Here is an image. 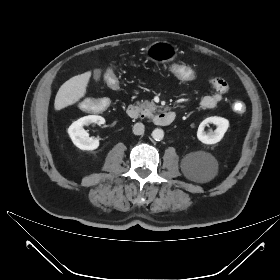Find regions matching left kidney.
I'll return each instance as SVG.
<instances>
[{"mask_svg":"<svg viewBox=\"0 0 280 280\" xmlns=\"http://www.w3.org/2000/svg\"><path fill=\"white\" fill-rule=\"evenodd\" d=\"M209 123L216 125L217 128L214 131L206 133L204 128ZM228 127L229 121L227 119L218 116L208 117L200 123L197 131V138L204 144H215L223 138Z\"/></svg>","mask_w":280,"mask_h":280,"instance_id":"5707ae66","label":"left kidney"}]
</instances>
